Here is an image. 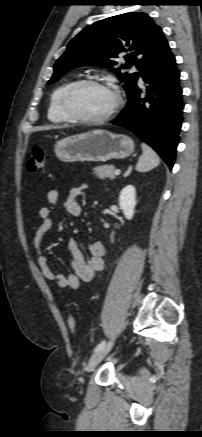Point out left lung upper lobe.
<instances>
[{
	"instance_id": "left-lung-upper-lobe-1",
	"label": "left lung upper lobe",
	"mask_w": 202,
	"mask_h": 437,
	"mask_svg": "<svg viewBox=\"0 0 202 437\" xmlns=\"http://www.w3.org/2000/svg\"><path fill=\"white\" fill-rule=\"evenodd\" d=\"M168 46L162 29L141 12L124 13L98 21L76 35L54 65L48 84L66 72L83 65L113 68L126 90L127 97L137 85L139 75L151 66ZM119 54H126V64L118 65ZM136 65L140 73H121Z\"/></svg>"
}]
</instances>
